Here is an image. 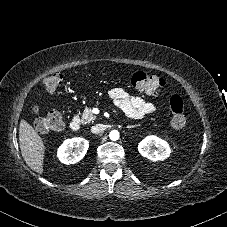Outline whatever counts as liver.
<instances>
[{
	"instance_id": "obj_1",
	"label": "liver",
	"mask_w": 227,
	"mask_h": 227,
	"mask_svg": "<svg viewBox=\"0 0 227 227\" xmlns=\"http://www.w3.org/2000/svg\"><path fill=\"white\" fill-rule=\"evenodd\" d=\"M19 144L26 164L38 174L43 173L44 143L33 127L24 119L19 126Z\"/></svg>"
}]
</instances>
